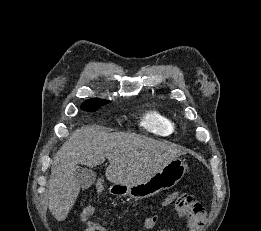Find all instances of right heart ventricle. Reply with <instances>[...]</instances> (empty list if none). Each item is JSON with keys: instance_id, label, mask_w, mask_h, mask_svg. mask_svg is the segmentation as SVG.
Returning a JSON list of instances; mask_svg holds the SVG:
<instances>
[{"instance_id": "1", "label": "right heart ventricle", "mask_w": 261, "mask_h": 231, "mask_svg": "<svg viewBox=\"0 0 261 231\" xmlns=\"http://www.w3.org/2000/svg\"><path fill=\"white\" fill-rule=\"evenodd\" d=\"M140 126L160 136H169L176 131L171 116L158 107H149L143 111L140 117Z\"/></svg>"}]
</instances>
